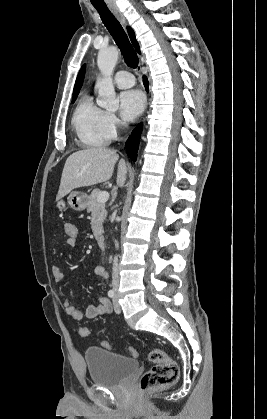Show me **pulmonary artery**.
<instances>
[{"label": "pulmonary artery", "mask_w": 267, "mask_h": 419, "mask_svg": "<svg viewBox=\"0 0 267 419\" xmlns=\"http://www.w3.org/2000/svg\"><path fill=\"white\" fill-rule=\"evenodd\" d=\"M114 82L120 88H129L135 84V79L130 72L119 71L114 76Z\"/></svg>", "instance_id": "obj_1"}]
</instances>
